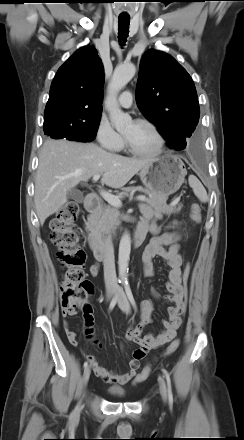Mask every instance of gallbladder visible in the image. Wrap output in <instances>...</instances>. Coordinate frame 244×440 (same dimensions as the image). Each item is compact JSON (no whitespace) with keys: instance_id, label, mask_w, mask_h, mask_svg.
<instances>
[{"instance_id":"1","label":"gallbladder","mask_w":244,"mask_h":440,"mask_svg":"<svg viewBox=\"0 0 244 440\" xmlns=\"http://www.w3.org/2000/svg\"><path fill=\"white\" fill-rule=\"evenodd\" d=\"M67 197L76 202H81L83 200V193L77 189H72L67 193Z\"/></svg>"}]
</instances>
